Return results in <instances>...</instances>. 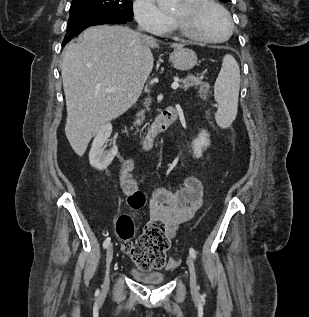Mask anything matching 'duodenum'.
<instances>
[{
    "instance_id": "obj_1",
    "label": "duodenum",
    "mask_w": 309,
    "mask_h": 317,
    "mask_svg": "<svg viewBox=\"0 0 309 317\" xmlns=\"http://www.w3.org/2000/svg\"><path fill=\"white\" fill-rule=\"evenodd\" d=\"M177 117L174 107L165 108L158 116L152 127L150 128L147 136L144 139L143 147L149 149L152 147L155 138L164 130H166Z\"/></svg>"
}]
</instances>
